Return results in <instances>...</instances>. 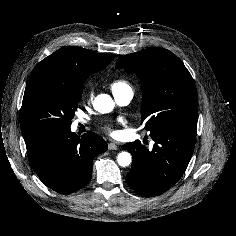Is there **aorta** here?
<instances>
[{"label":"aorta","instance_id":"1","mask_svg":"<svg viewBox=\"0 0 236 236\" xmlns=\"http://www.w3.org/2000/svg\"><path fill=\"white\" fill-rule=\"evenodd\" d=\"M94 108L100 113H109L114 109L115 103L107 94L98 95L93 104ZM117 162L120 166L126 167L131 163V155L128 152L118 154Z\"/></svg>","mask_w":236,"mask_h":236}]
</instances>
